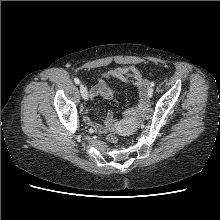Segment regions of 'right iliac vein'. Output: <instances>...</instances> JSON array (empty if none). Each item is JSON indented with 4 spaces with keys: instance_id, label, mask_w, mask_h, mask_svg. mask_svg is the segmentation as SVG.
Here are the masks:
<instances>
[{
    "instance_id": "1",
    "label": "right iliac vein",
    "mask_w": 220,
    "mask_h": 220,
    "mask_svg": "<svg viewBox=\"0 0 220 220\" xmlns=\"http://www.w3.org/2000/svg\"><path fill=\"white\" fill-rule=\"evenodd\" d=\"M80 93L84 100L88 99V91H87V88L83 84L80 85Z\"/></svg>"
}]
</instances>
